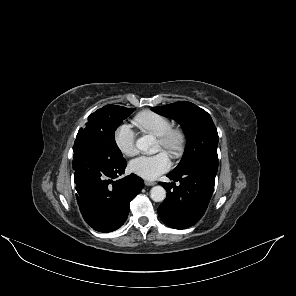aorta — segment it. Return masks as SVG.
<instances>
[{
  "label": "aorta",
  "instance_id": "762f6f07",
  "mask_svg": "<svg viewBox=\"0 0 296 296\" xmlns=\"http://www.w3.org/2000/svg\"><path fill=\"white\" fill-rule=\"evenodd\" d=\"M136 148L146 153H154L156 145L154 138L146 135L136 141ZM150 197L155 202H162L166 198V190L160 186H154L150 191Z\"/></svg>",
  "mask_w": 296,
  "mask_h": 296
}]
</instances>
